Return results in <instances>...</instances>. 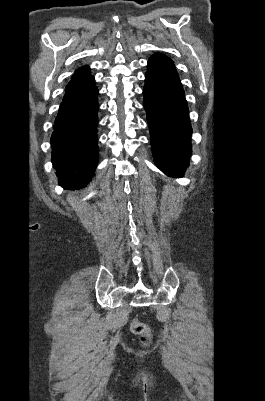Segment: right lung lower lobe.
<instances>
[{
    "label": "right lung lower lobe",
    "instance_id": "obj_1",
    "mask_svg": "<svg viewBox=\"0 0 265 401\" xmlns=\"http://www.w3.org/2000/svg\"><path fill=\"white\" fill-rule=\"evenodd\" d=\"M97 95L93 81L67 89L60 104L51 137V159L64 188L84 187L94 174L98 161Z\"/></svg>",
    "mask_w": 265,
    "mask_h": 401
}]
</instances>
